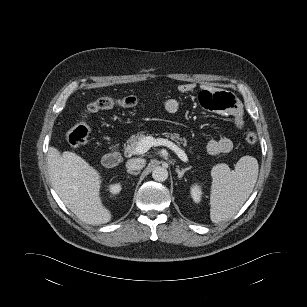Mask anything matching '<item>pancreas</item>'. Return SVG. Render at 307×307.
I'll return each mask as SVG.
<instances>
[{"label":"pancreas","mask_w":307,"mask_h":307,"mask_svg":"<svg viewBox=\"0 0 307 307\" xmlns=\"http://www.w3.org/2000/svg\"><path fill=\"white\" fill-rule=\"evenodd\" d=\"M165 136L167 138H170L171 140L175 141L177 143V145L183 144L184 146H186V144H187L186 139L180 138V135L178 133H165ZM144 137H146V136L143 132L137 133L136 135H132L128 139L127 145L124 148L125 149V151H124L125 156L130 157L134 154H137V152H136L137 144Z\"/></svg>","instance_id":"obj_1"}]
</instances>
